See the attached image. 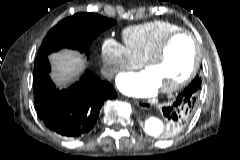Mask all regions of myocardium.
<instances>
[{"label": "myocardium", "instance_id": "1", "mask_svg": "<svg viewBox=\"0 0 240 160\" xmlns=\"http://www.w3.org/2000/svg\"><path fill=\"white\" fill-rule=\"evenodd\" d=\"M178 36H186L192 42V45L194 47V53H195L194 62L190 71L187 73V75L184 78H182L181 80H179L178 82L172 85L159 88V90L163 93H172L182 89L187 84H189L197 74V71L201 63L202 54H201V47L197 39L195 38V36L192 33L185 30H178V31L172 32L166 35L160 41V43L156 46L153 52L141 62V66L144 69H146L149 65L156 63L158 60H160L163 57L168 44Z\"/></svg>", "mask_w": 240, "mask_h": 160}]
</instances>
